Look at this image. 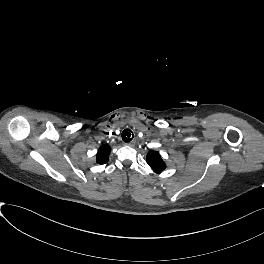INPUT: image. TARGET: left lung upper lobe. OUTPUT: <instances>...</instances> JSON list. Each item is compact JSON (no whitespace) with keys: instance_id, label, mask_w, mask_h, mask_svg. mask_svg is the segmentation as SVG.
Here are the masks:
<instances>
[{"instance_id":"left-lung-upper-lobe-1","label":"left lung upper lobe","mask_w":264,"mask_h":264,"mask_svg":"<svg viewBox=\"0 0 264 264\" xmlns=\"http://www.w3.org/2000/svg\"><path fill=\"white\" fill-rule=\"evenodd\" d=\"M146 161L156 172H161L166 168L165 162L162 160L160 154L156 151L148 152Z\"/></svg>"}]
</instances>
